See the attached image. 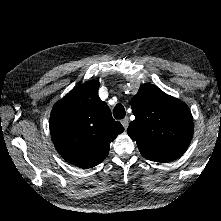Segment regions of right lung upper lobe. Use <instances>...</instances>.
Wrapping results in <instances>:
<instances>
[{"label": "right lung upper lobe", "mask_w": 221, "mask_h": 221, "mask_svg": "<svg viewBox=\"0 0 221 221\" xmlns=\"http://www.w3.org/2000/svg\"><path fill=\"white\" fill-rule=\"evenodd\" d=\"M98 80L71 90L53 107L50 134L59 154L69 163L91 168L108 155L110 143L124 131L98 96Z\"/></svg>", "instance_id": "right-lung-upper-lobe-1"}]
</instances>
